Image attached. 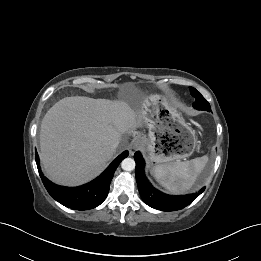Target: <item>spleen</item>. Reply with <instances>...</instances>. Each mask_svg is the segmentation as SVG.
Returning <instances> with one entry per match:
<instances>
[{"mask_svg": "<svg viewBox=\"0 0 261 261\" xmlns=\"http://www.w3.org/2000/svg\"><path fill=\"white\" fill-rule=\"evenodd\" d=\"M207 161L208 157L202 156L190 161L157 165L151 173L167 190L173 193L185 192L193 186Z\"/></svg>", "mask_w": 261, "mask_h": 261, "instance_id": "spleen-1", "label": "spleen"}]
</instances>
